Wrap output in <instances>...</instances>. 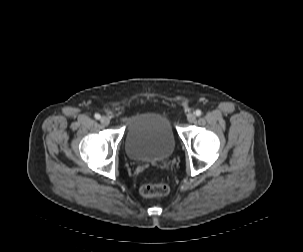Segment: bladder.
Segmentation results:
<instances>
[{
  "mask_svg": "<svg viewBox=\"0 0 303 252\" xmlns=\"http://www.w3.org/2000/svg\"><path fill=\"white\" fill-rule=\"evenodd\" d=\"M124 147L131 160L162 162L175 151V138L168 119L157 112H145L126 124Z\"/></svg>",
  "mask_w": 303,
  "mask_h": 252,
  "instance_id": "bladder-1",
  "label": "bladder"
}]
</instances>
